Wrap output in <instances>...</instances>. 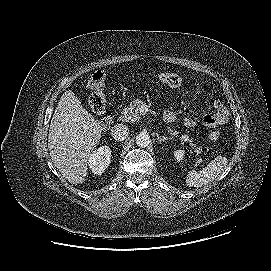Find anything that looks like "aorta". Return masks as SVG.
<instances>
[{
    "label": "aorta",
    "mask_w": 271,
    "mask_h": 271,
    "mask_svg": "<svg viewBox=\"0 0 271 271\" xmlns=\"http://www.w3.org/2000/svg\"><path fill=\"white\" fill-rule=\"evenodd\" d=\"M150 142V136L146 132H141L136 136V144L139 147H147Z\"/></svg>",
    "instance_id": "1"
}]
</instances>
